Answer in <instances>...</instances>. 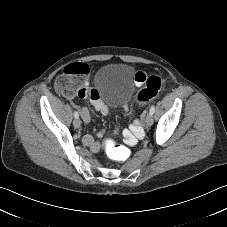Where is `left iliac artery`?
Instances as JSON below:
<instances>
[{"label":"left iliac artery","instance_id":"1","mask_svg":"<svg viewBox=\"0 0 227 227\" xmlns=\"http://www.w3.org/2000/svg\"><path fill=\"white\" fill-rule=\"evenodd\" d=\"M154 112H155V107H154V106H151L149 113H150L151 115H153Z\"/></svg>","mask_w":227,"mask_h":227}]
</instances>
